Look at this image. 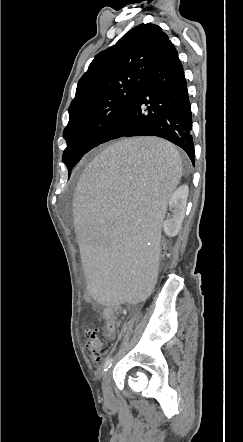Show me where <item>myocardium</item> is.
<instances>
[{"mask_svg": "<svg viewBox=\"0 0 243 442\" xmlns=\"http://www.w3.org/2000/svg\"><path fill=\"white\" fill-rule=\"evenodd\" d=\"M102 132H103V130H100V129H99V130H97V131L95 132V134L98 135V134H100V133H102Z\"/></svg>", "mask_w": 243, "mask_h": 442, "instance_id": "obj_1", "label": "myocardium"}]
</instances>
